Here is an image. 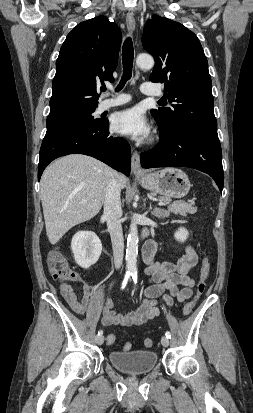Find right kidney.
I'll return each mask as SVG.
<instances>
[{
	"label": "right kidney",
	"mask_w": 253,
	"mask_h": 413,
	"mask_svg": "<svg viewBox=\"0 0 253 413\" xmlns=\"http://www.w3.org/2000/svg\"><path fill=\"white\" fill-rule=\"evenodd\" d=\"M71 249L76 263L88 269L98 261L102 252V244L94 232L79 231L72 238Z\"/></svg>",
	"instance_id": "obj_1"
}]
</instances>
